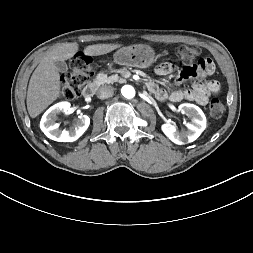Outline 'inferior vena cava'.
Instances as JSON below:
<instances>
[{
	"mask_svg": "<svg viewBox=\"0 0 253 253\" xmlns=\"http://www.w3.org/2000/svg\"><path fill=\"white\" fill-rule=\"evenodd\" d=\"M113 93H114V88L112 86L105 85L99 89L98 97L100 99L109 98L113 95Z\"/></svg>",
	"mask_w": 253,
	"mask_h": 253,
	"instance_id": "602c4592",
	"label": "inferior vena cava"
}]
</instances>
